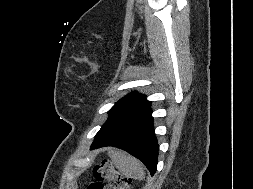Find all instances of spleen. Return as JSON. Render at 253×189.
Here are the masks:
<instances>
[{
  "label": "spleen",
  "instance_id": "3e777b00",
  "mask_svg": "<svg viewBox=\"0 0 253 189\" xmlns=\"http://www.w3.org/2000/svg\"><path fill=\"white\" fill-rule=\"evenodd\" d=\"M108 155L116 168L125 176L136 179H145V170L139 160L121 150L110 149Z\"/></svg>",
  "mask_w": 253,
  "mask_h": 189
}]
</instances>
